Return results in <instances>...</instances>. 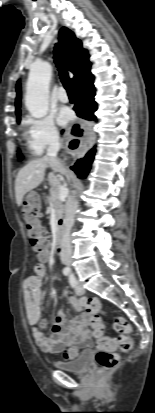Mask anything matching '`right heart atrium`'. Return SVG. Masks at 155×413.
<instances>
[{
    "mask_svg": "<svg viewBox=\"0 0 155 413\" xmlns=\"http://www.w3.org/2000/svg\"><path fill=\"white\" fill-rule=\"evenodd\" d=\"M25 124L28 128L29 144L34 153L41 154L58 142L60 133L52 116L29 117Z\"/></svg>",
    "mask_w": 155,
    "mask_h": 413,
    "instance_id": "right-heart-atrium-1",
    "label": "right heart atrium"
}]
</instances>
